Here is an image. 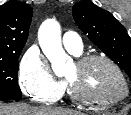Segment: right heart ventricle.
<instances>
[{"label":"right heart ventricle","instance_id":"obj_1","mask_svg":"<svg viewBox=\"0 0 131 115\" xmlns=\"http://www.w3.org/2000/svg\"><path fill=\"white\" fill-rule=\"evenodd\" d=\"M81 54V53H80ZM80 54H77L76 56H80ZM75 55V54H74Z\"/></svg>","mask_w":131,"mask_h":115}]
</instances>
